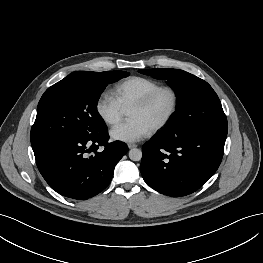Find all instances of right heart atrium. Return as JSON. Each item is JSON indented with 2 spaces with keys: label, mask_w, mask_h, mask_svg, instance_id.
I'll return each mask as SVG.
<instances>
[{
  "label": "right heart atrium",
  "mask_w": 263,
  "mask_h": 263,
  "mask_svg": "<svg viewBox=\"0 0 263 263\" xmlns=\"http://www.w3.org/2000/svg\"><path fill=\"white\" fill-rule=\"evenodd\" d=\"M95 109L101 120L109 126L116 125L124 112L121 104L109 93H102L98 97Z\"/></svg>",
  "instance_id": "right-heart-atrium-1"
}]
</instances>
